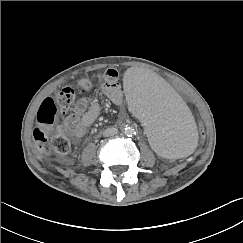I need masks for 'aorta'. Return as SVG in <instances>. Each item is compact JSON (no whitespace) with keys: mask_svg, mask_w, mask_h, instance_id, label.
<instances>
[{"mask_svg":"<svg viewBox=\"0 0 243 243\" xmlns=\"http://www.w3.org/2000/svg\"><path fill=\"white\" fill-rule=\"evenodd\" d=\"M125 133L127 135H132L134 133V129L132 127L125 128Z\"/></svg>","mask_w":243,"mask_h":243,"instance_id":"aorta-1","label":"aorta"}]
</instances>
